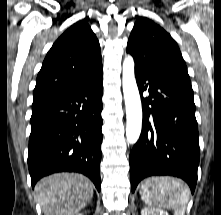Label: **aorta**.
<instances>
[{
	"instance_id": "762f6f07",
	"label": "aorta",
	"mask_w": 221,
	"mask_h": 215,
	"mask_svg": "<svg viewBox=\"0 0 221 215\" xmlns=\"http://www.w3.org/2000/svg\"><path fill=\"white\" fill-rule=\"evenodd\" d=\"M122 86L127 118L126 138L134 144L141 133L142 106L134 75V60L130 55L123 62Z\"/></svg>"
}]
</instances>
